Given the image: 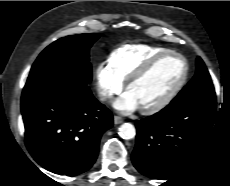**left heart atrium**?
I'll list each match as a JSON object with an SVG mask.
<instances>
[{
	"label": "left heart atrium",
	"instance_id": "1",
	"mask_svg": "<svg viewBox=\"0 0 230 186\" xmlns=\"http://www.w3.org/2000/svg\"><path fill=\"white\" fill-rule=\"evenodd\" d=\"M114 107L124 113L133 112L139 108V105L130 92L124 93L114 102Z\"/></svg>",
	"mask_w": 230,
	"mask_h": 186
}]
</instances>
